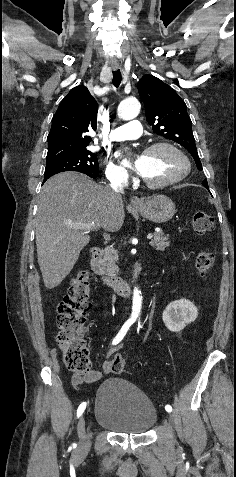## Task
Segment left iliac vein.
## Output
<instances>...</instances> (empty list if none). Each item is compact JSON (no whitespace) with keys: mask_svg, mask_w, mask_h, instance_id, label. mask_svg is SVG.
Instances as JSON below:
<instances>
[{"mask_svg":"<svg viewBox=\"0 0 236 477\" xmlns=\"http://www.w3.org/2000/svg\"><path fill=\"white\" fill-rule=\"evenodd\" d=\"M165 414H166L168 417H170V421H171V422H175V421H176V418L174 417L173 412H171V411H169V410H166V411H165Z\"/></svg>","mask_w":236,"mask_h":477,"instance_id":"left-iliac-vein-1","label":"left iliac vein"}]
</instances>
